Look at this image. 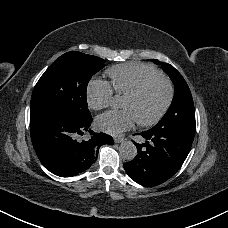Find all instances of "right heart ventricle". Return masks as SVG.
<instances>
[{
	"label": "right heart ventricle",
	"instance_id": "1",
	"mask_svg": "<svg viewBox=\"0 0 228 228\" xmlns=\"http://www.w3.org/2000/svg\"><path fill=\"white\" fill-rule=\"evenodd\" d=\"M112 86L120 96H127L137 90L145 81L160 77L161 73L149 66L126 64L108 71Z\"/></svg>",
	"mask_w": 228,
	"mask_h": 228
}]
</instances>
